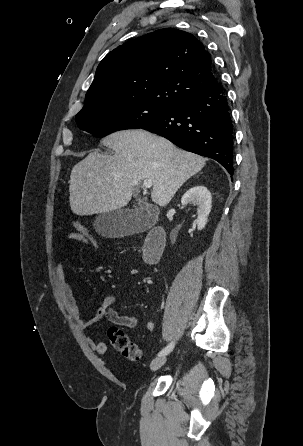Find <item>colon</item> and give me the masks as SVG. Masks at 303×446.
<instances>
[{
    "label": "colon",
    "instance_id": "obj_1",
    "mask_svg": "<svg viewBox=\"0 0 303 446\" xmlns=\"http://www.w3.org/2000/svg\"><path fill=\"white\" fill-rule=\"evenodd\" d=\"M72 226L74 232L78 235L91 238L94 248H97V241L91 237L87 229L78 220H74ZM107 335L112 347L120 352L123 357L129 361H138L141 358L139 346L129 339L125 331L118 327H110Z\"/></svg>",
    "mask_w": 303,
    "mask_h": 446
}]
</instances>
